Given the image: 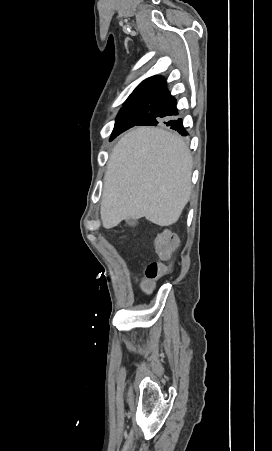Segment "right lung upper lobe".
<instances>
[{
  "label": "right lung upper lobe",
  "instance_id": "cb5924a9",
  "mask_svg": "<svg viewBox=\"0 0 272 451\" xmlns=\"http://www.w3.org/2000/svg\"><path fill=\"white\" fill-rule=\"evenodd\" d=\"M166 87L164 79L160 76H153L144 80L132 92L127 100L154 98Z\"/></svg>",
  "mask_w": 272,
  "mask_h": 451
}]
</instances>
